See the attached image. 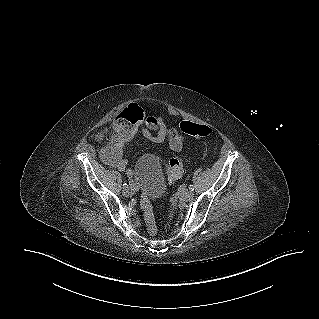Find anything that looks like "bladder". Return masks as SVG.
I'll return each mask as SVG.
<instances>
[{
    "label": "bladder",
    "mask_w": 319,
    "mask_h": 319,
    "mask_svg": "<svg viewBox=\"0 0 319 319\" xmlns=\"http://www.w3.org/2000/svg\"><path fill=\"white\" fill-rule=\"evenodd\" d=\"M159 158L154 153L140 156L134 168L133 177L149 198H157L164 192V178Z\"/></svg>",
    "instance_id": "bladder-1"
}]
</instances>
